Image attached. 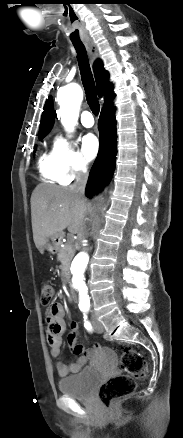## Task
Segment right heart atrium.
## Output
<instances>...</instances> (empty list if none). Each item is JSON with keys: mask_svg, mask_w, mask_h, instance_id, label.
Wrapping results in <instances>:
<instances>
[{"mask_svg": "<svg viewBox=\"0 0 183 438\" xmlns=\"http://www.w3.org/2000/svg\"><path fill=\"white\" fill-rule=\"evenodd\" d=\"M54 168L58 180L68 183L87 170V163L80 151L62 137L54 142Z\"/></svg>", "mask_w": 183, "mask_h": 438, "instance_id": "1", "label": "right heart atrium"}]
</instances>
